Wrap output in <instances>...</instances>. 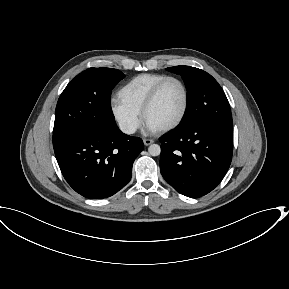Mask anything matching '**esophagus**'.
Listing matches in <instances>:
<instances>
[{
  "label": "esophagus",
  "mask_w": 289,
  "mask_h": 289,
  "mask_svg": "<svg viewBox=\"0 0 289 289\" xmlns=\"http://www.w3.org/2000/svg\"><path fill=\"white\" fill-rule=\"evenodd\" d=\"M154 141L152 139H143V143L145 146H149L152 144Z\"/></svg>",
  "instance_id": "34e87169"
}]
</instances>
